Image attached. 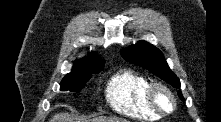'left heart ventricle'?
Returning <instances> with one entry per match:
<instances>
[{
    "instance_id": "b2bd125f",
    "label": "left heart ventricle",
    "mask_w": 221,
    "mask_h": 122,
    "mask_svg": "<svg viewBox=\"0 0 221 122\" xmlns=\"http://www.w3.org/2000/svg\"><path fill=\"white\" fill-rule=\"evenodd\" d=\"M158 101L164 109L169 110L171 108V101L165 93L160 92L158 94Z\"/></svg>"
}]
</instances>
